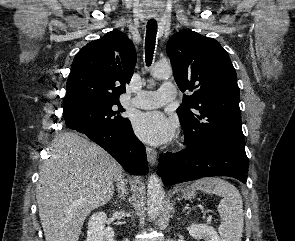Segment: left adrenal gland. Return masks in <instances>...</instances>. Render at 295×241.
Instances as JSON below:
<instances>
[{"instance_id": "1", "label": "left adrenal gland", "mask_w": 295, "mask_h": 241, "mask_svg": "<svg viewBox=\"0 0 295 241\" xmlns=\"http://www.w3.org/2000/svg\"><path fill=\"white\" fill-rule=\"evenodd\" d=\"M186 210H191V207L189 206V204H186V206L183 208L182 211L184 212Z\"/></svg>"}]
</instances>
